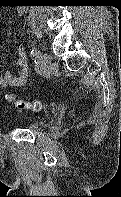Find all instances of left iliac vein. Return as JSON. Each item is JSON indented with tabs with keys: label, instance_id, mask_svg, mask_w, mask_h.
<instances>
[{
	"label": "left iliac vein",
	"instance_id": "1",
	"mask_svg": "<svg viewBox=\"0 0 121 197\" xmlns=\"http://www.w3.org/2000/svg\"><path fill=\"white\" fill-rule=\"evenodd\" d=\"M51 62H52L51 55L47 52L42 53L40 55V66L38 68V73L40 75H45L51 66Z\"/></svg>",
	"mask_w": 121,
	"mask_h": 197
}]
</instances>
